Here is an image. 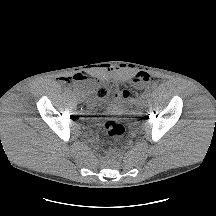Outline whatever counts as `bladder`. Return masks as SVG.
<instances>
[{
  "mask_svg": "<svg viewBox=\"0 0 216 216\" xmlns=\"http://www.w3.org/2000/svg\"><path fill=\"white\" fill-rule=\"evenodd\" d=\"M89 96H90V93L86 92L85 97H86L87 104L90 108H93L94 102ZM107 109L114 114H122L126 112L127 106H126L124 99L120 96L110 101Z\"/></svg>",
  "mask_w": 216,
  "mask_h": 216,
  "instance_id": "bladder-1",
  "label": "bladder"
}]
</instances>
